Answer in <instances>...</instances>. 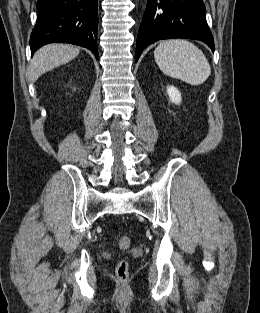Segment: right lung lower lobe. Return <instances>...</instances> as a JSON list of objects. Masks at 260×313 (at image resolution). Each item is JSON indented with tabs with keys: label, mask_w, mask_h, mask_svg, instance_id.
Masks as SVG:
<instances>
[{
	"label": "right lung lower lobe",
	"mask_w": 260,
	"mask_h": 313,
	"mask_svg": "<svg viewBox=\"0 0 260 313\" xmlns=\"http://www.w3.org/2000/svg\"><path fill=\"white\" fill-rule=\"evenodd\" d=\"M38 19L30 38L31 54L53 42L76 44L98 58L97 0H38Z\"/></svg>",
	"instance_id": "right-lung-lower-lobe-1"
}]
</instances>
